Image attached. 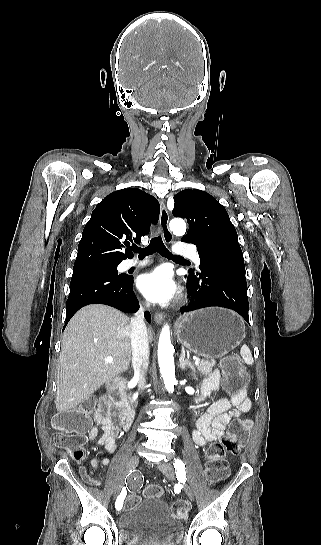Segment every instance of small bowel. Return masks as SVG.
<instances>
[{"label": "small bowel", "mask_w": 321, "mask_h": 545, "mask_svg": "<svg viewBox=\"0 0 321 545\" xmlns=\"http://www.w3.org/2000/svg\"><path fill=\"white\" fill-rule=\"evenodd\" d=\"M220 383V374L217 370L213 371L204 380L196 402L205 399L212 391L218 389ZM251 409V401L245 393L233 394L229 398L221 399L212 404L205 414H203L195 423L192 431V438L196 445L204 447L209 443L221 438L227 425L242 413ZM116 414L110 413L107 408H100L94 417L95 425L88 430V437L104 446L109 452H114L117 447L116 439L121 432V428L115 423ZM99 432H101L99 434ZM110 464L108 458L93 459L91 465L94 468L106 467ZM81 475L86 472L85 468L80 469ZM84 478V476L82 475ZM85 479V478H84ZM86 480V479H85ZM94 483L99 480L93 478Z\"/></svg>", "instance_id": "c3829d8e"}]
</instances>
